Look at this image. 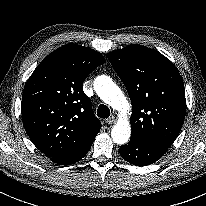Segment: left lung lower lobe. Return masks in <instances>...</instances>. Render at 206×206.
<instances>
[{
    "instance_id": "0a47b994",
    "label": "left lung lower lobe",
    "mask_w": 206,
    "mask_h": 206,
    "mask_svg": "<svg viewBox=\"0 0 206 206\" xmlns=\"http://www.w3.org/2000/svg\"><path fill=\"white\" fill-rule=\"evenodd\" d=\"M167 150L168 148L131 139L128 144L120 147V154L126 161L134 165L145 166L156 162Z\"/></svg>"
}]
</instances>
